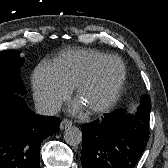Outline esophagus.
<instances>
[{
	"label": "esophagus",
	"mask_w": 168,
	"mask_h": 168,
	"mask_svg": "<svg viewBox=\"0 0 168 168\" xmlns=\"http://www.w3.org/2000/svg\"><path fill=\"white\" fill-rule=\"evenodd\" d=\"M72 125V122L68 119H64L60 123V130H64Z\"/></svg>",
	"instance_id": "1"
}]
</instances>
